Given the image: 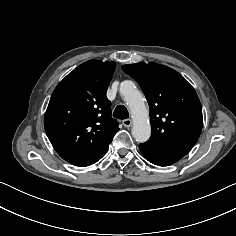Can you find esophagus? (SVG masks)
Returning <instances> with one entry per match:
<instances>
[{
	"mask_svg": "<svg viewBox=\"0 0 236 236\" xmlns=\"http://www.w3.org/2000/svg\"><path fill=\"white\" fill-rule=\"evenodd\" d=\"M122 124H123L125 127L129 128V127H131V125H132V120H131V119H125V120L122 121Z\"/></svg>",
	"mask_w": 236,
	"mask_h": 236,
	"instance_id": "esophagus-1",
	"label": "esophagus"
}]
</instances>
